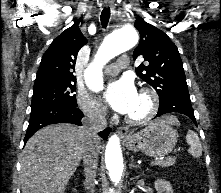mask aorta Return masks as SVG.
<instances>
[{"label": "aorta", "mask_w": 221, "mask_h": 193, "mask_svg": "<svg viewBox=\"0 0 221 193\" xmlns=\"http://www.w3.org/2000/svg\"><path fill=\"white\" fill-rule=\"evenodd\" d=\"M138 42V34L133 28H121L112 32L102 43L97 54V60L86 73L87 84L93 91H100L102 83L96 75V68L111 60L116 55L134 47ZM105 163L111 180L118 184L123 174V158L120 139L112 135L105 151Z\"/></svg>", "instance_id": "obj_1"}]
</instances>
